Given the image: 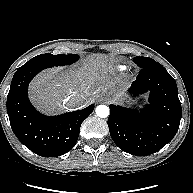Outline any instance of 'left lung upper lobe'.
Wrapping results in <instances>:
<instances>
[{
    "label": "left lung upper lobe",
    "instance_id": "5c2ea615",
    "mask_svg": "<svg viewBox=\"0 0 193 193\" xmlns=\"http://www.w3.org/2000/svg\"><path fill=\"white\" fill-rule=\"evenodd\" d=\"M133 60L141 69L158 63V62H156L155 60H153L149 57H139L138 56V57H135Z\"/></svg>",
    "mask_w": 193,
    "mask_h": 193
}]
</instances>
